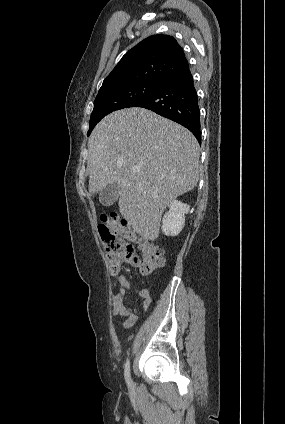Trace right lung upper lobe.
Here are the masks:
<instances>
[{
    "instance_id": "1",
    "label": "right lung upper lobe",
    "mask_w": 285,
    "mask_h": 424,
    "mask_svg": "<svg viewBox=\"0 0 285 424\" xmlns=\"http://www.w3.org/2000/svg\"><path fill=\"white\" fill-rule=\"evenodd\" d=\"M189 68L183 49L169 35L150 36L130 49L99 91L140 81L166 82Z\"/></svg>"
}]
</instances>
